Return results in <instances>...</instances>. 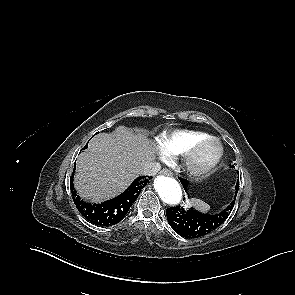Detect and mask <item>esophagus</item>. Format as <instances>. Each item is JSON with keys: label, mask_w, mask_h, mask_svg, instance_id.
I'll return each mask as SVG.
<instances>
[{"label": "esophagus", "mask_w": 295, "mask_h": 295, "mask_svg": "<svg viewBox=\"0 0 295 295\" xmlns=\"http://www.w3.org/2000/svg\"><path fill=\"white\" fill-rule=\"evenodd\" d=\"M160 173L163 174V175H166V176H172L173 175V173L169 169H163V170H161Z\"/></svg>", "instance_id": "esophagus-1"}]
</instances>
